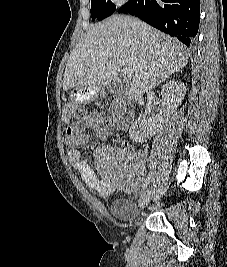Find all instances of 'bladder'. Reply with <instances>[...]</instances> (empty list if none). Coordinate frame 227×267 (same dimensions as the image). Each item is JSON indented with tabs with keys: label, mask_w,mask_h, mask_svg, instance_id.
Returning <instances> with one entry per match:
<instances>
[{
	"label": "bladder",
	"mask_w": 227,
	"mask_h": 267,
	"mask_svg": "<svg viewBox=\"0 0 227 267\" xmlns=\"http://www.w3.org/2000/svg\"><path fill=\"white\" fill-rule=\"evenodd\" d=\"M110 208L113 216L118 221L123 223H129L135 221L141 214V211L140 210L137 211L134 202L129 198H123V197L115 198L111 202Z\"/></svg>",
	"instance_id": "31cf9c89"
}]
</instances>
